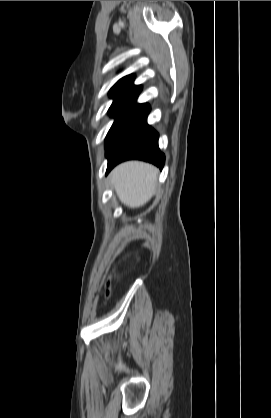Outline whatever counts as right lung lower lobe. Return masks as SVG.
<instances>
[{
    "label": "right lung lower lobe",
    "mask_w": 271,
    "mask_h": 418,
    "mask_svg": "<svg viewBox=\"0 0 271 418\" xmlns=\"http://www.w3.org/2000/svg\"><path fill=\"white\" fill-rule=\"evenodd\" d=\"M147 115L127 128L106 149V174L118 163L129 159L147 161L163 168L165 156L158 147V133L147 124Z\"/></svg>",
    "instance_id": "right-lung-lower-lobe-1"
}]
</instances>
